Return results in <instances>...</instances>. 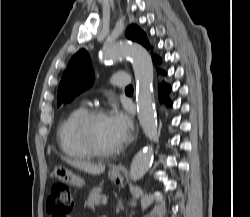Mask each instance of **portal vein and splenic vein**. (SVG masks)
Segmentation results:
<instances>
[{
	"mask_svg": "<svg viewBox=\"0 0 250 217\" xmlns=\"http://www.w3.org/2000/svg\"><path fill=\"white\" fill-rule=\"evenodd\" d=\"M107 202H108L107 198L102 199V204H103V205H106Z\"/></svg>",
	"mask_w": 250,
	"mask_h": 217,
	"instance_id": "obj_1",
	"label": "portal vein and splenic vein"
}]
</instances>
